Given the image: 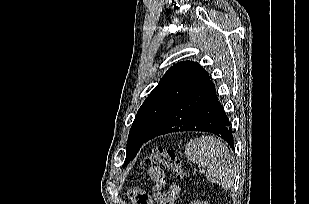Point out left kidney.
<instances>
[{
    "label": "left kidney",
    "instance_id": "left-kidney-1",
    "mask_svg": "<svg viewBox=\"0 0 309 204\" xmlns=\"http://www.w3.org/2000/svg\"><path fill=\"white\" fill-rule=\"evenodd\" d=\"M191 204H208L206 201L205 202H201V201H194V203Z\"/></svg>",
    "mask_w": 309,
    "mask_h": 204
}]
</instances>
